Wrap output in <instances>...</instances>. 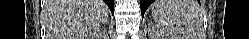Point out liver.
<instances>
[{
	"mask_svg": "<svg viewBox=\"0 0 249 39\" xmlns=\"http://www.w3.org/2000/svg\"><path fill=\"white\" fill-rule=\"evenodd\" d=\"M44 12L49 37L88 39L107 20L109 9L102 0H46Z\"/></svg>",
	"mask_w": 249,
	"mask_h": 39,
	"instance_id": "liver-1",
	"label": "liver"
}]
</instances>
